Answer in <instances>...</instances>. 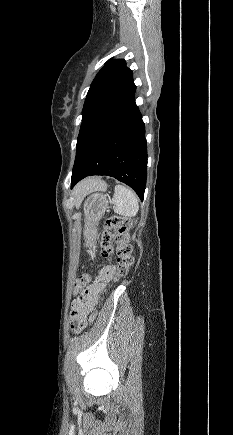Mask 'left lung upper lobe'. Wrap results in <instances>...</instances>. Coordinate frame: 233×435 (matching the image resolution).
<instances>
[{
    "label": "left lung upper lobe",
    "instance_id": "1",
    "mask_svg": "<svg viewBox=\"0 0 233 435\" xmlns=\"http://www.w3.org/2000/svg\"><path fill=\"white\" fill-rule=\"evenodd\" d=\"M136 86L125 60L110 59L94 78L82 110L75 161L102 130L135 104Z\"/></svg>",
    "mask_w": 233,
    "mask_h": 435
}]
</instances>
